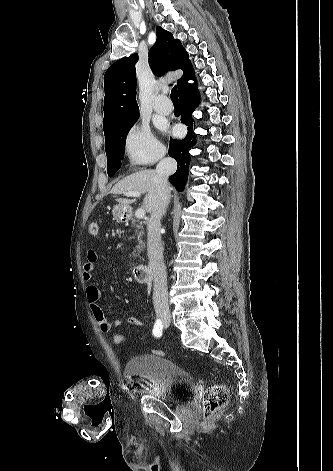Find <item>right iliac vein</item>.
Here are the masks:
<instances>
[{
	"mask_svg": "<svg viewBox=\"0 0 333 471\" xmlns=\"http://www.w3.org/2000/svg\"><path fill=\"white\" fill-rule=\"evenodd\" d=\"M169 317H164L163 320L166 321Z\"/></svg>",
	"mask_w": 333,
	"mask_h": 471,
	"instance_id": "right-iliac-vein-1",
	"label": "right iliac vein"
}]
</instances>
